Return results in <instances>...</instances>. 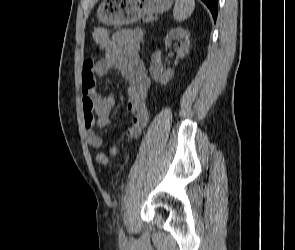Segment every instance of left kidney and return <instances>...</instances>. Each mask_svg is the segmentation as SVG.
<instances>
[{"label": "left kidney", "mask_w": 295, "mask_h": 250, "mask_svg": "<svg viewBox=\"0 0 295 250\" xmlns=\"http://www.w3.org/2000/svg\"><path fill=\"white\" fill-rule=\"evenodd\" d=\"M190 33L182 28L171 29L165 37V45H171L173 40L180 41V47L177 49L179 57L183 58L189 53ZM150 74L153 79L160 84H167L173 77L174 71L166 69L161 61V51L156 52L151 57Z\"/></svg>", "instance_id": "5707ae66"}]
</instances>
